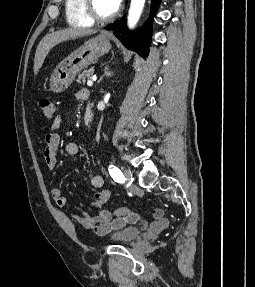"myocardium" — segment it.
Here are the masks:
<instances>
[{"label": "myocardium", "mask_w": 255, "mask_h": 287, "mask_svg": "<svg viewBox=\"0 0 255 287\" xmlns=\"http://www.w3.org/2000/svg\"><path fill=\"white\" fill-rule=\"evenodd\" d=\"M93 33H98V32H93ZM122 33H124V32H122ZM93 39H95V38H93ZM102 39H111V38H102ZM125 39H132V38H125ZM91 48H93V47H91ZM104 48H112V47H104ZM131 48H139V47H131Z\"/></svg>", "instance_id": "obj_1"}]
</instances>
